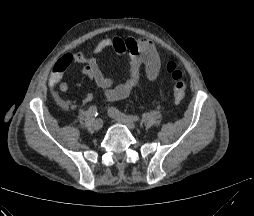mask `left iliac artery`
<instances>
[{"label":"left iliac artery","instance_id":"44dca946","mask_svg":"<svg viewBox=\"0 0 254 216\" xmlns=\"http://www.w3.org/2000/svg\"><path fill=\"white\" fill-rule=\"evenodd\" d=\"M109 111L111 113H113L115 116L117 117H121V118H126V119H129V120H132V121H138L139 120V117L136 116V115H131V114H127V113H123L121 112L120 110H118L117 108L115 107H111L109 109Z\"/></svg>","mask_w":254,"mask_h":216}]
</instances>
